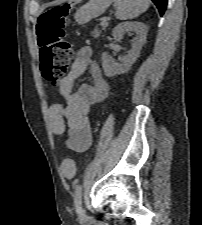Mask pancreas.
I'll use <instances>...</instances> for the list:
<instances>
[{
  "instance_id": "cf45deb5",
  "label": "pancreas",
  "mask_w": 202,
  "mask_h": 225,
  "mask_svg": "<svg viewBox=\"0 0 202 225\" xmlns=\"http://www.w3.org/2000/svg\"><path fill=\"white\" fill-rule=\"evenodd\" d=\"M102 27H103V29H104V28L107 27V26H102ZM100 33H101V30L98 29L97 27L94 29V31L91 32V34H92V36H93L94 38H97V37L100 35Z\"/></svg>"
}]
</instances>
